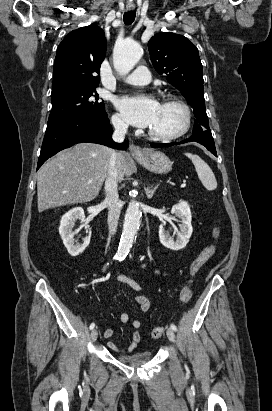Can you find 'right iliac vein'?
<instances>
[{
  "instance_id": "1",
  "label": "right iliac vein",
  "mask_w": 272,
  "mask_h": 411,
  "mask_svg": "<svg viewBox=\"0 0 272 411\" xmlns=\"http://www.w3.org/2000/svg\"><path fill=\"white\" fill-rule=\"evenodd\" d=\"M97 337H98V331L97 329H93L90 334L91 341H96Z\"/></svg>"
}]
</instances>
